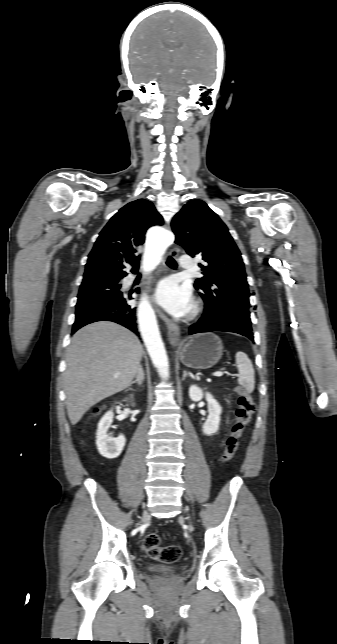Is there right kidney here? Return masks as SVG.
Masks as SVG:
<instances>
[{
  "mask_svg": "<svg viewBox=\"0 0 337 644\" xmlns=\"http://www.w3.org/2000/svg\"><path fill=\"white\" fill-rule=\"evenodd\" d=\"M114 414L108 411L100 420L96 433V445L99 453L108 459L117 458L126 443V438L119 435L116 438L109 437L107 432L113 422Z\"/></svg>",
  "mask_w": 337,
  "mask_h": 644,
  "instance_id": "obj_1",
  "label": "right kidney"
}]
</instances>
